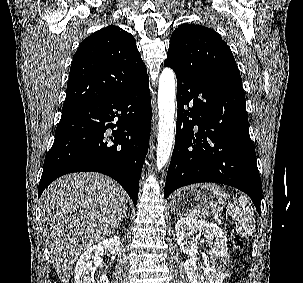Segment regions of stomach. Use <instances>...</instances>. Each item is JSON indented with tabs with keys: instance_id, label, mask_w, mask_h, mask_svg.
<instances>
[{
	"instance_id": "1",
	"label": "stomach",
	"mask_w": 303,
	"mask_h": 283,
	"mask_svg": "<svg viewBox=\"0 0 303 283\" xmlns=\"http://www.w3.org/2000/svg\"><path fill=\"white\" fill-rule=\"evenodd\" d=\"M226 201L227 196L220 186L202 183L175 192L170 207L176 215L205 218L218 214L226 205Z\"/></svg>"
}]
</instances>
